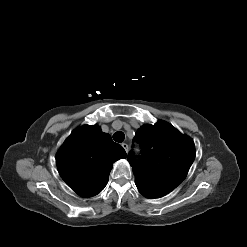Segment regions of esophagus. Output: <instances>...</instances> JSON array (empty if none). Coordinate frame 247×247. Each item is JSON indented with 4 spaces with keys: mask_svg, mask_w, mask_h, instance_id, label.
<instances>
[{
    "mask_svg": "<svg viewBox=\"0 0 247 247\" xmlns=\"http://www.w3.org/2000/svg\"><path fill=\"white\" fill-rule=\"evenodd\" d=\"M122 147L124 148V150L126 151V153H128V151H129V146H128V144L122 143Z\"/></svg>",
    "mask_w": 247,
    "mask_h": 247,
    "instance_id": "obj_1",
    "label": "esophagus"
}]
</instances>
